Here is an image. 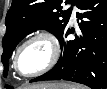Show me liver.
<instances>
[{
  "label": "liver",
  "mask_w": 107,
  "mask_h": 89,
  "mask_svg": "<svg viewBox=\"0 0 107 89\" xmlns=\"http://www.w3.org/2000/svg\"><path fill=\"white\" fill-rule=\"evenodd\" d=\"M47 85L53 87L54 89L60 87V85L58 84H37V85L29 86L28 89L30 88L43 89L42 87Z\"/></svg>",
  "instance_id": "liver-1"
}]
</instances>
